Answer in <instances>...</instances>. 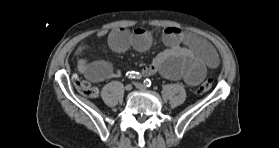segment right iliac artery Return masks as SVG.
Here are the masks:
<instances>
[{"label": "right iliac artery", "mask_w": 279, "mask_h": 148, "mask_svg": "<svg viewBox=\"0 0 279 148\" xmlns=\"http://www.w3.org/2000/svg\"><path fill=\"white\" fill-rule=\"evenodd\" d=\"M126 76H127L129 79H140V78H141V75L139 74V72H135V71L128 72V73L126 74Z\"/></svg>", "instance_id": "1"}]
</instances>
